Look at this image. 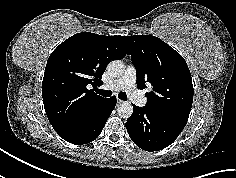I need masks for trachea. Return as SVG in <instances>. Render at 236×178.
Instances as JSON below:
<instances>
[{
  "instance_id": "obj_1",
  "label": "trachea",
  "mask_w": 236,
  "mask_h": 178,
  "mask_svg": "<svg viewBox=\"0 0 236 178\" xmlns=\"http://www.w3.org/2000/svg\"><path fill=\"white\" fill-rule=\"evenodd\" d=\"M95 92L98 93L99 95L103 96V97H110L112 95L111 91L109 90H103V89H95ZM118 97L121 100H127V95L124 92H120L118 94Z\"/></svg>"
}]
</instances>
